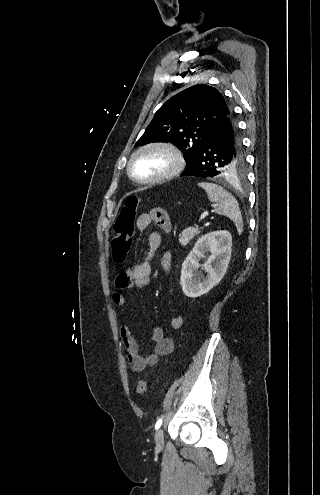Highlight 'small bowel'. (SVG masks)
Instances as JSON below:
<instances>
[{
    "mask_svg": "<svg viewBox=\"0 0 320 495\" xmlns=\"http://www.w3.org/2000/svg\"><path fill=\"white\" fill-rule=\"evenodd\" d=\"M157 224L163 230H170L169 218L165 211L161 209H152L138 217L137 227L140 230H146L151 225ZM162 237L159 232H153L149 236V250L146 253L144 261L127 269L125 272L116 276L114 284L115 291L112 294L114 304L119 306L122 311L126 309L125 297L122 293L127 288H145L150 284L151 261L161 245ZM161 266L165 273L172 269V258L170 253H165L161 259ZM184 318L181 314L175 315L170 321V327L178 330L183 326ZM123 345L127 352V357L132 370L141 372L147 367L154 366L158 363L159 358L170 354L174 349V340L165 336L163 330L155 328L151 335L154 343L153 352L141 354L138 342L128 325H123L120 329Z\"/></svg>",
    "mask_w": 320,
    "mask_h": 495,
    "instance_id": "c3829d8e",
    "label": "small bowel"
}]
</instances>
